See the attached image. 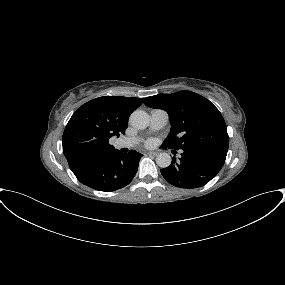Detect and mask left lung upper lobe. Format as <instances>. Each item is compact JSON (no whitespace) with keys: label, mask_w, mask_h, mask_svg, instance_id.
<instances>
[{"label":"left lung upper lobe","mask_w":285,"mask_h":285,"mask_svg":"<svg viewBox=\"0 0 285 285\" xmlns=\"http://www.w3.org/2000/svg\"><path fill=\"white\" fill-rule=\"evenodd\" d=\"M144 103L169 115L171 130L163 147L227 154L229 137L225 121L208 99L191 91H179L147 97Z\"/></svg>","instance_id":"5c2ea615"}]
</instances>
